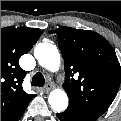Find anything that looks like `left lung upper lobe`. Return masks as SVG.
I'll use <instances>...</instances> for the list:
<instances>
[{"label":"left lung upper lobe","mask_w":121,"mask_h":121,"mask_svg":"<svg viewBox=\"0 0 121 121\" xmlns=\"http://www.w3.org/2000/svg\"><path fill=\"white\" fill-rule=\"evenodd\" d=\"M65 65L63 88L69 111L96 120L113 102L119 89L121 67L109 42L100 34L63 27L55 32Z\"/></svg>","instance_id":"1"}]
</instances>
